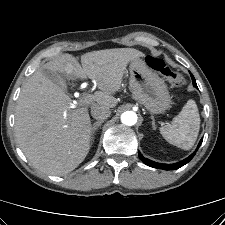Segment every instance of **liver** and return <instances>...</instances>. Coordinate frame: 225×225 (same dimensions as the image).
Listing matches in <instances>:
<instances>
[{
	"instance_id": "liver-1",
	"label": "liver",
	"mask_w": 225,
	"mask_h": 225,
	"mask_svg": "<svg viewBox=\"0 0 225 225\" xmlns=\"http://www.w3.org/2000/svg\"><path fill=\"white\" fill-rule=\"evenodd\" d=\"M144 56L134 48L92 51L81 56V67L72 55L64 54L36 70L23 86L15 112L16 138L28 161L57 176L78 167L90 149L89 104L115 107L112 94L120 89L128 63ZM44 69L57 73L60 85L48 79ZM87 77L102 91L95 92L92 102L81 100L71 108L66 79Z\"/></svg>"
}]
</instances>
